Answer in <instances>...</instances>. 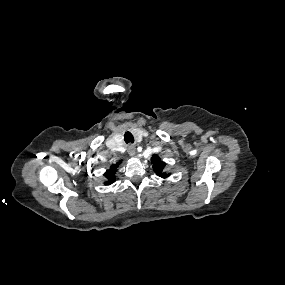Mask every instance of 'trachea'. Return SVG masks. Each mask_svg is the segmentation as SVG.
<instances>
[{
    "mask_svg": "<svg viewBox=\"0 0 285 285\" xmlns=\"http://www.w3.org/2000/svg\"><path fill=\"white\" fill-rule=\"evenodd\" d=\"M124 141L127 144L134 142V137H133V135L129 131L125 132V134H124Z\"/></svg>",
    "mask_w": 285,
    "mask_h": 285,
    "instance_id": "obj_1",
    "label": "trachea"
}]
</instances>
